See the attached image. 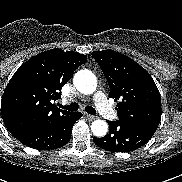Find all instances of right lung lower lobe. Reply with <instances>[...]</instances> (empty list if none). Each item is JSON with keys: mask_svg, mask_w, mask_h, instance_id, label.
Wrapping results in <instances>:
<instances>
[{"mask_svg": "<svg viewBox=\"0 0 182 182\" xmlns=\"http://www.w3.org/2000/svg\"><path fill=\"white\" fill-rule=\"evenodd\" d=\"M81 117L82 113L72 112L69 116L33 128L15 138L24 145L38 150L57 149L70 141L73 125Z\"/></svg>", "mask_w": 182, "mask_h": 182, "instance_id": "98d812e1", "label": "right lung lower lobe"}]
</instances>
